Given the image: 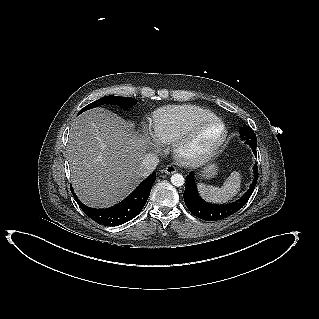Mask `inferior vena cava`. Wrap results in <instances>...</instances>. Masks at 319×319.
<instances>
[{"instance_id": "602c4592", "label": "inferior vena cava", "mask_w": 319, "mask_h": 319, "mask_svg": "<svg viewBox=\"0 0 319 319\" xmlns=\"http://www.w3.org/2000/svg\"><path fill=\"white\" fill-rule=\"evenodd\" d=\"M159 163V158L154 153H147L141 162V171L147 174L152 173Z\"/></svg>"}]
</instances>
